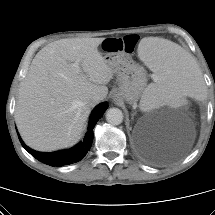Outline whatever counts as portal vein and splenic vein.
I'll return each mask as SVG.
<instances>
[{
  "label": "portal vein and splenic vein",
  "mask_w": 215,
  "mask_h": 215,
  "mask_svg": "<svg viewBox=\"0 0 215 215\" xmlns=\"http://www.w3.org/2000/svg\"><path fill=\"white\" fill-rule=\"evenodd\" d=\"M72 66H73L74 68H76V69H78V68H79V66H78V64H77V63L72 64Z\"/></svg>",
  "instance_id": "1"
}]
</instances>
